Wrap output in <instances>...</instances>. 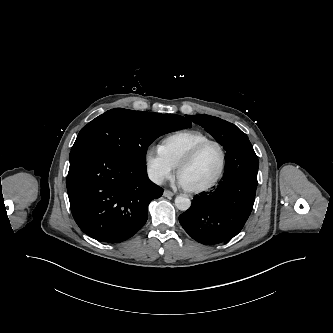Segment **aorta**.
Segmentation results:
<instances>
[{"mask_svg": "<svg viewBox=\"0 0 333 333\" xmlns=\"http://www.w3.org/2000/svg\"><path fill=\"white\" fill-rule=\"evenodd\" d=\"M175 206L177 209L180 211H186L190 208L191 206V201L188 197L186 196H177L175 198Z\"/></svg>", "mask_w": 333, "mask_h": 333, "instance_id": "obj_1", "label": "aorta"}]
</instances>
